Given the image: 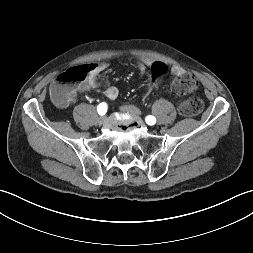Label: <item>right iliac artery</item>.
<instances>
[{
	"instance_id": "right-iliac-artery-1",
	"label": "right iliac artery",
	"mask_w": 253,
	"mask_h": 253,
	"mask_svg": "<svg viewBox=\"0 0 253 253\" xmlns=\"http://www.w3.org/2000/svg\"><path fill=\"white\" fill-rule=\"evenodd\" d=\"M97 111L100 115H104L107 112V104L102 102L98 105Z\"/></svg>"
}]
</instances>
